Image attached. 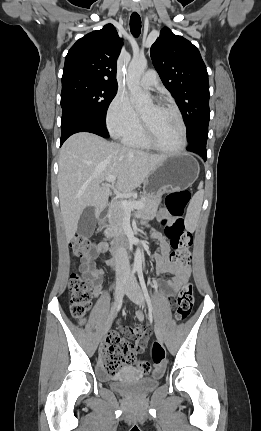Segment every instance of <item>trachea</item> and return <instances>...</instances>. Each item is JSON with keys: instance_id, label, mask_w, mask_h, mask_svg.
I'll use <instances>...</instances> for the list:
<instances>
[{"instance_id": "obj_1", "label": "trachea", "mask_w": 261, "mask_h": 431, "mask_svg": "<svg viewBox=\"0 0 261 431\" xmlns=\"http://www.w3.org/2000/svg\"><path fill=\"white\" fill-rule=\"evenodd\" d=\"M130 30L134 37H138L141 33V18L136 12H133L130 17Z\"/></svg>"}]
</instances>
